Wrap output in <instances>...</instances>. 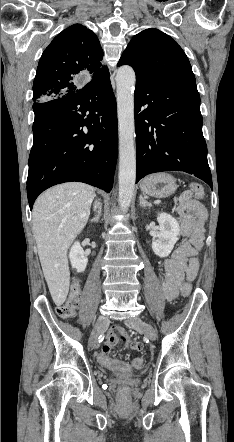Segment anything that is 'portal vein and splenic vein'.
Returning <instances> with one entry per match:
<instances>
[{
  "instance_id": "18ae733b",
  "label": "portal vein and splenic vein",
  "mask_w": 234,
  "mask_h": 442,
  "mask_svg": "<svg viewBox=\"0 0 234 442\" xmlns=\"http://www.w3.org/2000/svg\"><path fill=\"white\" fill-rule=\"evenodd\" d=\"M160 203V201H155V204H159Z\"/></svg>"
}]
</instances>
